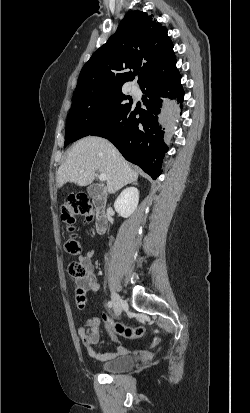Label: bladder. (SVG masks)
Listing matches in <instances>:
<instances>
[{
    "instance_id": "obj_1",
    "label": "bladder",
    "mask_w": 250,
    "mask_h": 413,
    "mask_svg": "<svg viewBox=\"0 0 250 413\" xmlns=\"http://www.w3.org/2000/svg\"><path fill=\"white\" fill-rule=\"evenodd\" d=\"M135 358L131 355H122L114 359L105 361L100 365V369L105 373H120L132 369L135 365Z\"/></svg>"
}]
</instances>
